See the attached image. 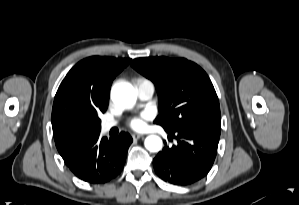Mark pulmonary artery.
<instances>
[{"label": "pulmonary artery", "instance_id": "obj_1", "mask_svg": "<svg viewBox=\"0 0 299 205\" xmlns=\"http://www.w3.org/2000/svg\"><path fill=\"white\" fill-rule=\"evenodd\" d=\"M135 89L138 97L141 100H149L152 98L155 87L154 84L147 79H138L135 83ZM117 125L115 120H106L102 122V129L104 131H109L111 128Z\"/></svg>", "mask_w": 299, "mask_h": 205}]
</instances>
